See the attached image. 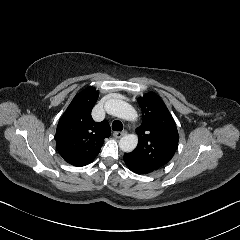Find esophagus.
Segmentation results:
<instances>
[{"mask_svg":"<svg viewBox=\"0 0 240 240\" xmlns=\"http://www.w3.org/2000/svg\"><path fill=\"white\" fill-rule=\"evenodd\" d=\"M126 133H127L126 131H116V132L113 133V136L115 138H121V137L125 136Z\"/></svg>","mask_w":240,"mask_h":240,"instance_id":"obj_1","label":"esophagus"}]
</instances>
